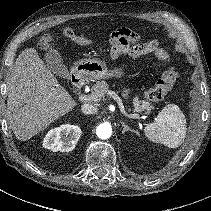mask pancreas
Masks as SVG:
<instances>
[{
    "label": "pancreas",
    "instance_id": "cf45deb5",
    "mask_svg": "<svg viewBox=\"0 0 211 211\" xmlns=\"http://www.w3.org/2000/svg\"><path fill=\"white\" fill-rule=\"evenodd\" d=\"M109 91V86L105 81H97L91 88V96L95 97L94 101H99L103 99L105 94H108ZM133 106V111L139 113L143 111L150 112L154 109V106H152L150 102L144 100L141 101L138 97L133 98Z\"/></svg>",
    "mask_w": 211,
    "mask_h": 211
}]
</instances>
